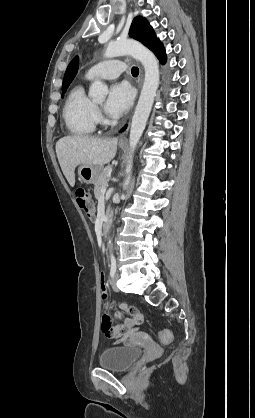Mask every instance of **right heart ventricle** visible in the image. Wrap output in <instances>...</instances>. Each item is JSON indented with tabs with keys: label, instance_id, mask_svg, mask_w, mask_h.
I'll return each instance as SVG.
<instances>
[{
	"label": "right heart ventricle",
	"instance_id": "right-heart-ventricle-1",
	"mask_svg": "<svg viewBox=\"0 0 255 418\" xmlns=\"http://www.w3.org/2000/svg\"><path fill=\"white\" fill-rule=\"evenodd\" d=\"M63 119L68 131L75 136H87L96 128V107L79 83L69 91L63 107Z\"/></svg>",
	"mask_w": 255,
	"mask_h": 418
}]
</instances>
